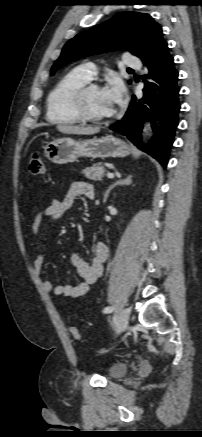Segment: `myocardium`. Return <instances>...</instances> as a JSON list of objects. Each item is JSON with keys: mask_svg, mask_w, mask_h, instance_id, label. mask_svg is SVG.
<instances>
[{"mask_svg": "<svg viewBox=\"0 0 202 437\" xmlns=\"http://www.w3.org/2000/svg\"><path fill=\"white\" fill-rule=\"evenodd\" d=\"M96 88H101V86L94 81H87L80 85L72 94L71 105L75 114L81 121L99 124L108 122L115 117V112L108 116L97 117L88 111L86 106L87 95L90 90Z\"/></svg>", "mask_w": 202, "mask_h": 437, "instance_id": "f54148a6", "label": "myocardium"}]
</instances>
